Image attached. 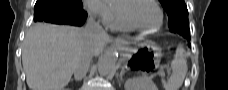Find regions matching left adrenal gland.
Returning a JSON list of instances; mask_svg holds the SVG:
<instances>
[{
    "mask_svg": "<svg viewBox=\"0 0 228 90\" xmlns=\"http://www.w3.org/2000/svg\"><path fill=\"white\" fill-rule=\"evenodd\" d=\"M124 73H125V70L122 69L121 72H120V76H119V78H120L121 81L123 80Z\"/></svg>",
    "mask_w": 228,
    "mask_h": 90,
    "instance_id": "1",
    "label": "left adrenal gland"
}]
</instances>
